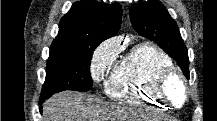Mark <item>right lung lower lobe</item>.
I'll return each mask as SVG.
<instances>
[{
  "mask_svg": "<svg viewBox=\"0 0 217 121\" xmlns=\"http://www.w3.org/2000/svg\"><path fill=\"white\" fill-rule=\"evenodd\" d=\"M45 100H46V99H40L39 105H42V104L45 102ZM40 112H42V111H41V107H40Z\"/></svg>",
  "mask_w": 217,
  "mask_h": 121,
  "instance_id": "right-lung-lower-lobe-1",
  "label": "right lung lower lobe"
}]
</instances>
